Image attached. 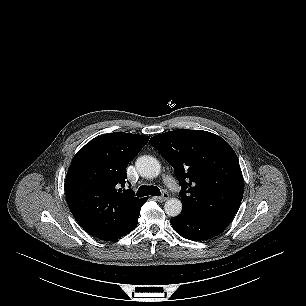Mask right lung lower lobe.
<instances>
[{
    "label": "right lung lower lobe",
    "instance_id": "98d812e1",
    "mask_svg": "<svg viewBox=\"0 0 306 306\" xmlns=\"http://www.w3.org/2000/svg\"><path fill=\"white\" fill-rule=\"evenodd\" d=\"M147 200V198H145V200L142 202L141 205L138 206V208H136V210L134 211L133 216L131 217V219L129 220V222L124 226V228L122 230H120L114 237H112L109 241H113V240H117L119 238H121L122 236H125L126 234H128L129 232H131L138 223V217L140 215V209L141 206L143 205V203Z\"/></svg>",
    "mask_w": 306,
    "mask_h": 306
}]
</instances>
